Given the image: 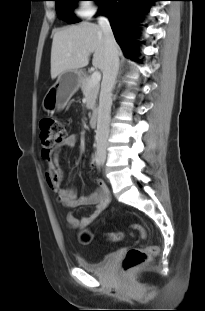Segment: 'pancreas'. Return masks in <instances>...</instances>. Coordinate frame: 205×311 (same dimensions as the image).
<instances>
[{
    "label": "pancreas",
    "instance_id": "1",
    "mask_svg": "<svg viewBox=\"0 0 205 311\" xmlns=\"http://www.w3.org/2000/svg\"><path fill=\"white\" fill-rule=\"evenodd\" d=\"M91 76L85 75L81 78L80 85L84 95L87 96V108L94 110L96 99L99 93V84L89 87Z\"/></svg>",
    "mask_w": 205,
    "mask_h": 311
}]
</instances>
